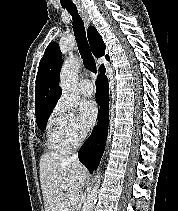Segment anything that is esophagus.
Masks as SVG:
<instances>
[{"mask_svg": "<svg viewBox=\"0 0 178 211\" xmlns=\"http://www.w3.org/2000/svg\"><path fill=\"white\" fill-rule=\"evenodd\" d=\"M80 12H81V15H82L85 25L88 27L91 24V20L88 16L87 11L84 9H80Z\"/></svg>", "mask_w": 178, "mask_h": 211, "instance_id": "1", "label": "esophagus"}]
</instances>
